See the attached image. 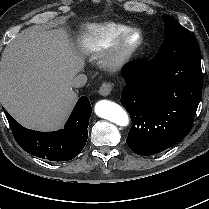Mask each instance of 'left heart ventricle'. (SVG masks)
Segmentation results:
<instances>
[{
	"label": "left heart ventricle",
	"instance_id": "left-heart-ventricle-1",
	"mask_svg": "<svg viewBox=\"0 0 209 209\" xmlns=\"http://www.w3.org/2000/svg\"><path fill=\"white\" fill-rule=\"evenodd\" d=\"M137 40H138V36L134 35V36H132L131 38L128 39L127 45H132V44L136 43Z\"/></svg>",
	"mask_w": 209,
	"mask_h": 209
}]
</instances>
